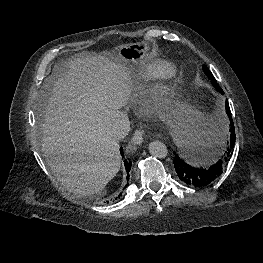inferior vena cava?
<instances>
[{
	"label": "inferior vena cava",
	"instance_id": "1",
	"mask_svg": "<svg viewBox=\"0 0 263 263\" xmlns=\"http://www.w3.org/2000/svg\"><path fill=\"white\" fill-rule=\"evenodd\" d=\"M130 131V122L126 115L116 117L108 125L109 135L115 140L124 139Z\"/></svg>",
	"mask_w": 263,
	"mask_h": 263
}]
</instances>
